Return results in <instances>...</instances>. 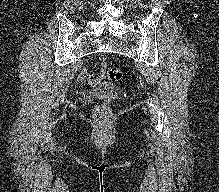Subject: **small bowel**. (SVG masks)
<instances>
[{"instance_id":"1","label":"small bowel","mask_w":219,"mask_h":192,"mask_svg":"<svg viewBox=\"0 0 219 192\" xmlns=\"http://www.w3.org/2000/svg\"><path fill=\"white\" fill-rule=\"evenodd\" d=\"M100 68H101V71L97 73H88L87 71H83L81 72L79 77L81 80L87 81V82L100 81L104 77V74H103L104 65L102 62H100Z\"/></svg>"}]
</instances>
